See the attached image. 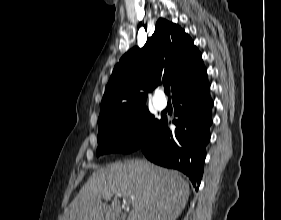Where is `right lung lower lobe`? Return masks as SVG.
<instances>
[{
    "instance_id": "98d812e1",
    "label": "right lung lower lobe",
    "mask_w": 281,
    "mask_h": 220,
    "mask_svg": "<svg viewBox=\"0 0 281 220\" xmlns=\"http://www.w3.org/2000/svg\"><path fill=\"white\" fill-rule=\"evenodd\" d=\"M175 131L162 118L153 135L139 148L158 165L182 171L193 186L200 185L212 124L210 84L207 79L173 95ZM198 190V187H196Z\"/></svg>"
}]
</instances>
